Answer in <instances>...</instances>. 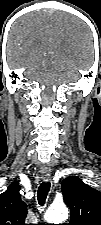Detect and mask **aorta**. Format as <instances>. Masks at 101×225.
Returning a JSON list of instances; mask_svg holds the SVG:
<instances>
[{
    "label": "aorta",
    "instance_id": "762f6f07",
    "mask_svg": "<svg viewBox=\"0 0 101 225\" xmlns=\"http://www.w3.org/2000/svg\"><path fill=\"white\" fill-rule=\"evenodd\" d=\"M68 209L65 205H52L45 214V220L50 224H60L68 218Z\"/></svg>",
    "mask_w": 101,
    "mask_h": 225
}]
</instances>
